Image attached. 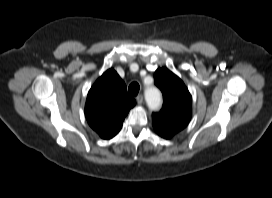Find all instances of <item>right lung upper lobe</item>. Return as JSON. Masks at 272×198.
I'll return each instance as SVG.
<instances>
[{
  "instance_id": "obj_1",
  "label": "right lung upper lobe",
  "mask_w": 272,
  "mask_h": 198,
  "mask_svg": "<svg viewBox=\"0 0 272 198\" xmlns=\"http://www.w3.org/2000/svg\"><path fill=\"white\" fill-rule=\"evenodd\" d=\"M136 104L114 69L107 70L90 89L85 105L86 119L101 138L110 139L121 129Z\"/></svg>"
}]
</instances>
